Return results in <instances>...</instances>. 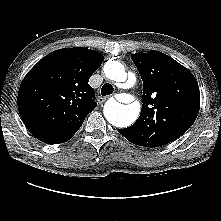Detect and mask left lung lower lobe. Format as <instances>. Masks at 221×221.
I'll return each instance as SVG.
<instances>
[{"mask_svg":"<svg viewBox=\"0 0 221 221\" xmlns=\"http://www.w3.org/2000/svg\"><path fill=\"white\" fill-rule=\"evenodd\" d=\"M119 131V133L121 134V135H123L127 140H130V133L126 130V129H119L118 130Z\"/></svg>","mask_w":221,"mask_h":221,"instance_id":"left-lung-lower-lobe-1","label":"left lung lower lobe"}]
</instances>
